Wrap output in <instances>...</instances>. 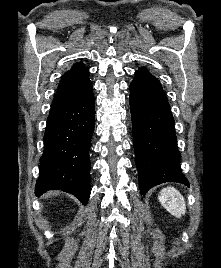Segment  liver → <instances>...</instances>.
I'll use <instances>...</instances> for the list:
<instances>
[{"label": "liver", "instance_id": "liver-1", "mask_svg": "<svg viewBox=\"0 0 221 268\" xmlns=\"http://www.w3.org/2000/svg\"><path fill=\"white\" fill-rule=\"evenodd\" d=\"M53 195H57V192L48 193L45 197H50V196H53Z\"/></svg>", "mask_w": 221, "mask_h": 268}]
</instances>
